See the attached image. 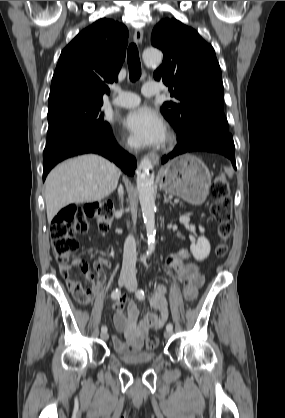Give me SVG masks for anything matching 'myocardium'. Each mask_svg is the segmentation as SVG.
<instances>
[{
    "label": "myocardium",
    "mask_w": 285,
    "mask_h": 418,
    "mask_svg": "<svg viewBox=\"0 0 285 418\" xmlns=\"http://www.w3.org/2000/svg\"><path fill=\"white\" fill-rule=\"evenodd\" d=\"M174 137L171 135L167 138L166 140V144H168L169 146L172 144Z\"/></svg>",
    "instance_id": "myocardium-1"
}]
</instances>
